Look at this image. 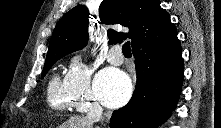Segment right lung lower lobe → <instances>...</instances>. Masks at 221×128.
Instances as JSON below:
<instances>
[{"label":"right lung lower lobe","mask_w":221,"mask_h":128,"mask_svg":"<svg viewBox=\"0 0 221 128\" xmlns=\"http://www.w3.org/2000/svg\"><path fill=\"white\" fill-rule=\"evenodd\" d=\"M137 82L129 103L115 110L111 128H155L165 122L177 105L182 81L181 44L175 36L162 47H137Z\"/></svg>","instance_id":"1"}]
</instances>
